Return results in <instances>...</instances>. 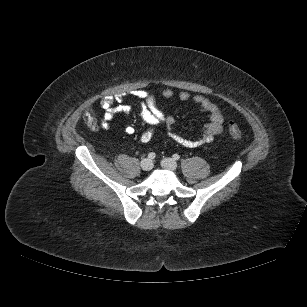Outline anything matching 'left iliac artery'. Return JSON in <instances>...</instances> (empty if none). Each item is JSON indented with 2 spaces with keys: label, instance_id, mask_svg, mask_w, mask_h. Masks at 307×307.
<instances>
[{
  "label": "left iliac artery",
  "instance_id": "obj_1",
  "mask_svg": "<svg viewBox=\"0 0 307 307\" xmlns=\"http://www.w3.org/2000/svg\"><path fill=\"white\" fill-rule=\"evenodd\" d=\"M173 159H174V160H179V159H180V156H179L178 154H174V155H173Z\"/></svg>",
  "mask_w": 307,
  "mask_h": 307
}]
</instances>
